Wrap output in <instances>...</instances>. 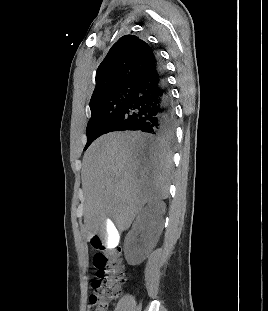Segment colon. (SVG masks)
I'll return each mask as SVG.
<instances>
[{"instance_id":"1","label":"colon","mask_w":268,"mask_h":311,"mask_svg":"<svg viewBox=\"0 0 268 311\" xmlns=\"http://www.w3.org/2000/svg\"><path fill=\"white\" fill-rule=\"evenodd\" d=\"M101 239L93 237L91 244L95 249L93 264L97 269V277L92 283L91 303L95 311H108V300L117 295L126 281L121 259V248L105 249Z\"/></svg>"}]
</instances>
